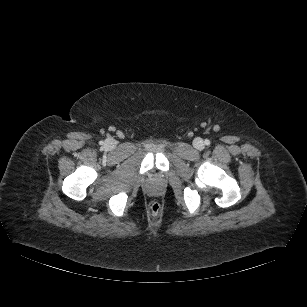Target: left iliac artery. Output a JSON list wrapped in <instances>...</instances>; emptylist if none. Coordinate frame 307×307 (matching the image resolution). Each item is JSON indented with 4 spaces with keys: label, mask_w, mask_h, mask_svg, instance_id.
I'll return each mask as SVG.
<instances>
[{
    "label": "left iliac artery",
    "mask_w": 307,
    "mask_h": 307,
    "mask_svg": "<svg viewBox=\"0 0 307 307\" xmlns=\"http://www.w3.org/2000/svg\"><path fill=\"white\" fill-rule=\"evenodd\" d=\"M204 143H205L207 146L210 145V141H209L208 139H206V140L204 141Z\"/></svg>",
    "instance_id": "obj_1"
}]
</instances>
